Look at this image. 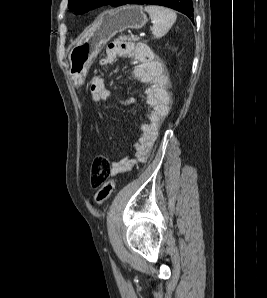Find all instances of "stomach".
I'll return each instance as SVG.
<instances>
[{
  "label": "stomach",
  "instance_id": "0dacf381",
  "mask_svg": "<svg viewBox=\"0 0 267 298\" xmlns=\"http://www.w3.org/2000/svg\"><path fill=\"white\" fill-rule=\"evenodd\" d=\"M147 21V16L139 5H126L103 13L90 36L69 53V72L75 85L83 84L94 59L116 33L126 29H141Z\"/></svg>",
  "mask_w": 267,
  "mask_h": 298
}]
</instances>
